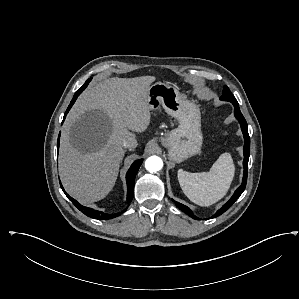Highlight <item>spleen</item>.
Returning <instances> with one entry per match:
<instances>
[{
	"label": "spleen",
	"instance_id": "spleen-1",
	"mask_svg": "<svg viewBox=\"0 0 299 299\" xmlns=\"http://www.w3.org/2000/svg\"><path fill=\"white\" fill-rule=\"evenodd\" d=\"M235 175L230 153H223L209 172L190 173L178 170L179 184L184 194L199 206H210L228 192Z\"/></svg>",
	"mask_w": 299,
	"mask_h": 299
}]
</instances>
